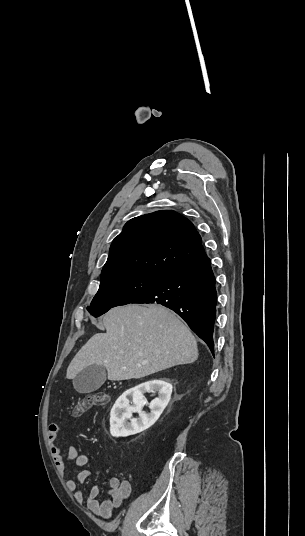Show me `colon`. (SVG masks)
<instances>
[{"instance_id":"colon-1","label":"colon","mask_w":305,"mask_h":536,"mask_svg":"<svg viewBox=\"0 0 305 536\" xmlns=\"http://www.w3.org/2000/svg\"><path fill=\"white\" fill-rule=\"evenodd\" d=\"M107 401L108 396L105 392L89 393L75 404L72 410V416L75 418L80 417L92 407L104 405Z\"/></svg>"}]
</instances>
